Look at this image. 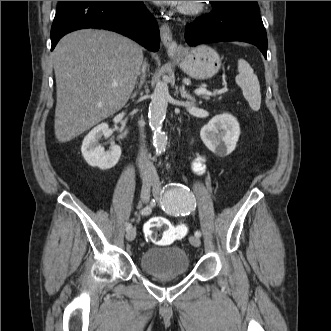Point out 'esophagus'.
<instances>
[{
    "instance_id": "obj_1",
    "label": "esophagus",
    "mask_w": 331,
    "mask_h": 331,
    "mask_svg": "<svg viewBox=\"0 0 331 331\" xmlns=\"http://www.w3.org/2000/svg\"><path fill=\"white\" fill-rule=\"evenodd\" d=\"M161 41L165 46L168 54H173L179 50V46L173 39L170 27L167 24L160 26Z\"/></svg>"
}]
</instances>
